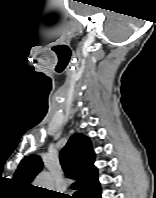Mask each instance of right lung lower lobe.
<instances>
[{
	"instance_id": "98d812e1",
	"label": "right lung lower lobe",
	"mask_w": 156,
	"mask_h": 198,
	"mask_svg": "<svg viewBox=\"0 0 156 198\" xmlns=\"http://www.w3.org/2000/svg\"><path fill=\"white\" fill-rule=\"evenodd\" d=\"M89 198H101V189L91 195Z\"/></svg>"
}]
</instances>
